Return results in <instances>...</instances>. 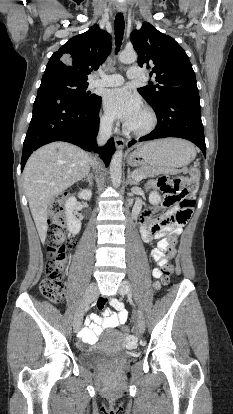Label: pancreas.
Masks as SVG:
<instances>
[{
  "mask_svg": "<svg viewBox=\"0 0 233 414\" xmlns=\"http://www.w3.org/2000/svg\"><path fill=\"white\" fill-rule=\"evenodd\" d=\"M161 172L153 170L149 167H140L134 170L133 174L137 177V176H141L142 179H146L148 177H154L158 174H160ZM175 173V172H172Z\"/></svg>",
  "mask_w": 233,
  "mask_h": 414,
  "instance_id": "pancreas-1",
  "label": "pancreas"
}]
</instances>
